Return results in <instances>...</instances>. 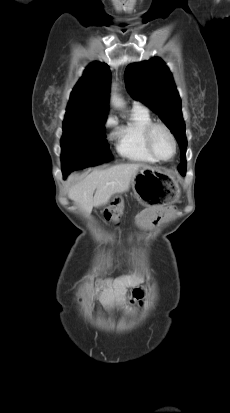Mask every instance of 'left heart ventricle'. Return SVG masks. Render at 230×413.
Masks as SVG:
<instances>
[{
  "label": "left heart ventricle",
  "instance_id": "1",
  "mask_svg": "<svg viewBox=\"0 0 230 413\" xmlns=\"http://www.w3.org/2000/svg\"><path fill=\"white\" fill-rule=\"evenodd\" d=\"M152 144L155 152L161 158L168 159L172 156L174 150L173 143L164 129L157 128L154 130Z\"/></svg>",
  "mask_w": 230,
  "mask_h": 413
}]
</instances>
